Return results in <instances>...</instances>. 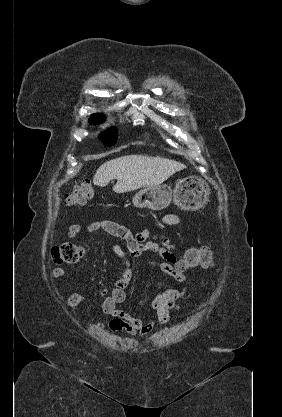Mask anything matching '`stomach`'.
Here are the masks:
<instances>
[{"instance_id":"1","label":"stomach","mask_w":282,"mask_h":417,"mask_svg":"<svg viewBox=\"0 0 282 417\" xmlns=\"http://www.w3.org/2000/svg\"><path fill=\"white\" fill-rule=\"evenodd\" d=\"M209 194L210 188L205 180L186 176L176 182L175 188L168 184L142 188L134 194L132 202L138 209L161 211L173 200L181 211H199L209 200Z\"/></svg>"}]
</instances>
